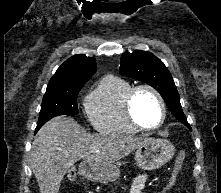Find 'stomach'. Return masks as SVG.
Instances as JSON below:
<instances>
[{
  "mask_svg": "<svg viewBox=\"0 0 221 193\" xmlns=\"http://www.w3.org/2000/svg\"><path fill=\"white\" fill-rule=\"evenodd\" d=\"M174 153L175 148L168 140L150 139L137 148L136 165L143 170H155L169 162ZM79 174L92 181L107 183L118 178L119 169L114 164L94 166L83 161L79 166Z\"/></svg>",
  "mask_w": 221,
  "mask_h": 193,
  "instance_id": "stomach-1",
  "label": "stomach"
}]
</instances>
